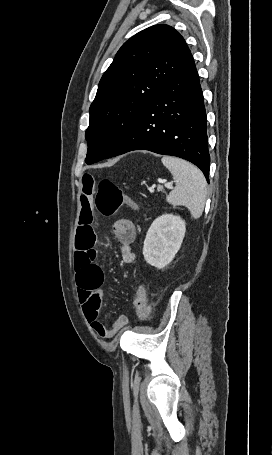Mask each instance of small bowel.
Returning <instances> with one entry per match:
<instances>
[{"label":"small bowel","instance_id":"1","mask_svg":"<svg viewBox=\"0 0 272 455\" xmlns=\"http://www.w3.org/2000/svg\"><path fill=\"white\" fill-rule=\"evenodd\" d=\"M95 187L94 175L83 174L80 197L81 213L76 235L75 268L79 298L88 322L99 336L111 338L127 323V318L121 316L111 325L103 324L99 318L104 274L96 263V232L93 227V212L90 204ZM113 233L120 246L122 261L133 263L135 253L132 250V244L136 235L134 224L128 219H119L113 224Z\"/></svg>","mask_w":272,"mask_h":455}]
</instances>
